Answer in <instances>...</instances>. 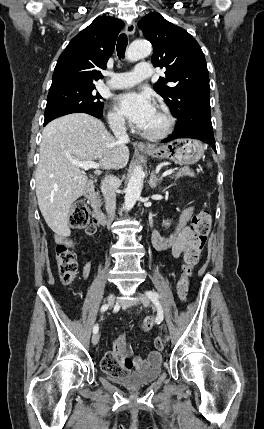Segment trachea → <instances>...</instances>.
<instances>
[{
  "label": "trachea",
  "instance_id": "trachea-1",
  "mask_svg": "<svg viewBox=\"0 0 264 429\" xmlns=\"http://www.w3.org/2000/svg\"><path fill=\"white\" fill-rule=\"evenodd\" d=\"M127 44H128L127 36H126V34L122 33L119 36L118 41H117V45H116L117 55L120 59L124 58V54H125Z\"/></svg>",
  "mask_w": 264,
  "mask_h": 429
}]
</instances>
